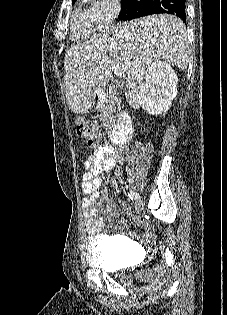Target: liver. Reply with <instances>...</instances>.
Segmentation results:
<instances>
[{
	"instance_id": "6515ba94",
	"label": "liver",
	"mask_w": 227,
	"mask_h": 315,
	"mask_svg": "<svg viewBox=\"0 0 227 315\" xmlns=\"http://www.w3.org/2000/svg\"><path fill=\"white\" fill-rule=\"evenodd\" d=\"M189 56L186 27L176 16L151 15L120 23L66 51L67 104L75 114L88 113L93 90H105L112 75L108 62H113L127 68L125 96L131 107L139 109L140 87L148 67L161 58L185 70Z\"/></svg>"
}]
</instances>
